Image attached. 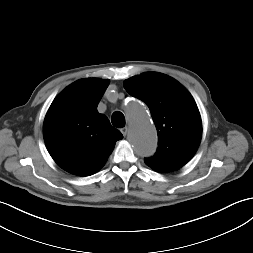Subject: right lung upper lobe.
<instances>
[{"instance_id":"right-lung-upper-lobe-1","label":"right lung upper lobe","mask_w":253,"mask_h":253,"mask_svg":"<svg viewBox=\"0 0 253 253\" xmlns=\"http://www.w3.org/2000/svg\"><path fill=\"white\" fill-rule=\"evenodd\" d=\"M109 80L80 79L52 102L43 124L47 149L64 170L78 176L96 173L106 163L115 142L123 138L97 111Z\"/></svg>"}]
</instances>
